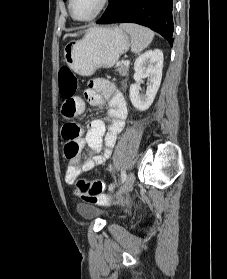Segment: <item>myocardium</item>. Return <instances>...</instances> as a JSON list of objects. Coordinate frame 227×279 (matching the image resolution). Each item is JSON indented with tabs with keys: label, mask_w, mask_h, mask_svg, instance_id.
I'll list each match as a JSON object with an SVG mask.
<instances>
[{
	"label": "myocardium",
	"mask_w": 227,
	"mask_h": 279,
	"mask_svg": "<svg viewBox=\"0 0 227 279\" xmlns=\"http://www.w3.org/2000/svg\"><path fill=\"white\" fill-rule=\"evenodd\" d=\"M108 3H109V0H100L99 1V6L96 9V11L92 15H90L89 17H86V18H83V19L77 18L74 15L73 9H72L73 0H69L68 9H69V13H70L71 17L73 18V20H75L77 22H88V21H92V20L96 19L98 16H100L105 11V9L107 8Z\"/></svg>",
	"instance_id": "obj_1"
}]
</instances>
